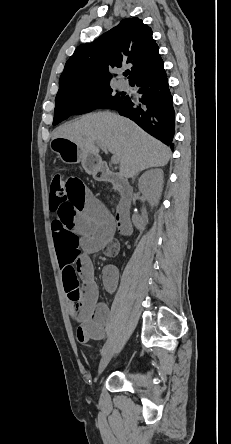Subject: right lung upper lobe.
<instances>
[{
    "label": "right lung upper lobe",
    "mask_w": 231,
    "mask_h": 444,
    "mask_svg": "<svg viewBox=\"0 0 231 444\" xmlns=\"http://www.w3.org/2000/svg\"><path fill=\"white\" fill-rule=\"evenodd\" d=\"M122 62L132 65L129 82L163 66L151 28L137 17L123 19L94 42L78 46L61 74L57 95L108 85L109 65L121 67Z\"/></svg>",
    "instance_id": "obj_1"
}]
</instances>
